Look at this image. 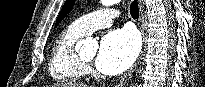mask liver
<instances>
[{
    "mask_svg": "<svg viewBox=\"0 0 205 87\" xmlns=\"http://www.w3.org/2000/svg\"><path fill=\"white\" fill-rule=\"evenodd\" d=\"M52 87H88V86L84 84L65 83V84H55Z\"/></svg>",
    "mask_w": 205,
    "mask_h": 87,
    "instance_id": "liver-1",
    "label": "liver"
}]
</instances>
